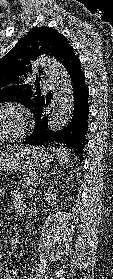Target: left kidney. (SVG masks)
<instances>
[{
  "instance_id": "5707ae66",
  "label": "left kidney",
  "mask_w": 113,
  "mask_h": 279,
  "mask_svg": "<svg viewBox=\"0 0 113 279\" xmlns=\"http://www.w3.org/2000/svg\"><path fill=\"white\" fill-rule=\"evenodd\" d=\"M52 191H53L52 188H51V190L48 189V191L45 193V200L49 204H56V201H58V199H57L58 194H57L56 190H54V193Z\"/></svg>"
}]
</instances>
